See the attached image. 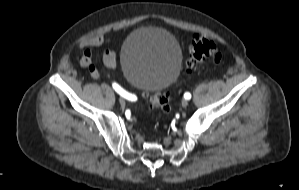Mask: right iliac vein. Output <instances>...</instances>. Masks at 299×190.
I'll use <instances>...</instances> for the list:
<instances>
[{
    "label": "right iliac vein",
    "instance_id": "1",
    "mask_svg": "<svg viewBox=\"0 0 299 190\" xmlns=\"http://www.w3.org/2000/svg\"><path fill=\"white\" fill-rule=\"evenodd\" d=\"M119 102L122 106H124L126 104L125 100L123 98H120L119 99Z\"/></svg>",
    "mask_w": 299,
    "mask_h": 190
}]
</instances>
